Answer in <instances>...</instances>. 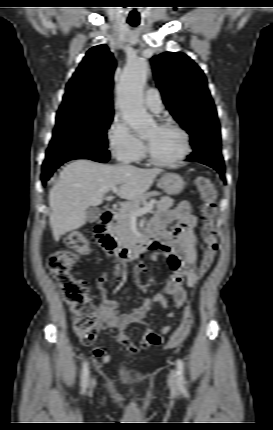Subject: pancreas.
<instances>
[{"mask_svg":"<svg viewBox=\"0 0 273 430\" xmlns=\"http://www.w3.org/2000/svg\"><path fill=\"white\" fill-rule=\"evenodd\" d=\"M158 191H150L142 194L137 200L127 202L123 205L122 209L115 216L116 223L111 226V232L116 238L119 245L129 243L133 238L131 230V214L140 208L151 196L159 195ZM174 200L168 196L162 197L156 201V207L160 210H166L173 206Z\"/></svg>","mask_w":273,"mask_h":430,"instance_id":"obj_1","label":"pancreas"}]
</instances>
